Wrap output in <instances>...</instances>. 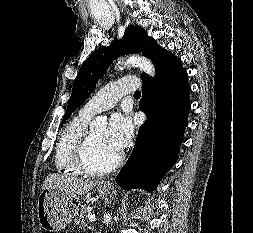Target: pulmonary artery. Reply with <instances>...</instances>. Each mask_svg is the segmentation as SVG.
<instances>
[{"instance_id":"obj_1","label":"pulmonary artery","mask_w":253,"mask_h":233,"mask_svg":"<svg viewBox=\"0 0 253 233\" xmlns=\"http://www.w3.org/2000/svg\"><path fill=\"white\" fill-rule=\"evenodd\" d=\"M138 80L132 76H125L111 83L91 97L81 108L80 113L93 116L99 112L112 108L119 99L138 88Z\"/></svg>"}]
</instances>
